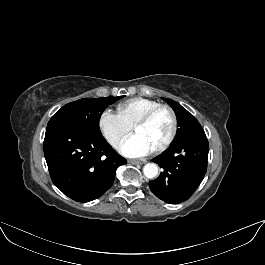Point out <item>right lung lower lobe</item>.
Segmentation results:
<instances>
[{"instance_id": "98d812e1", "label": "right lung lower lobe", "mask_w": 265, "mask_h": 265, "mask_svg": "<svg viewBox=\"0 0 265 265\" xmlns=\"http://www.w3.org/2000/svg\"><path fill=\"white\" fill-rule=\"evenodd\" d=\"M44 155L55 186L78 202L103 195L112 186L116 169L127 162L102 134L71 125L46 128Z\"/></svg>"}]
</instances>
